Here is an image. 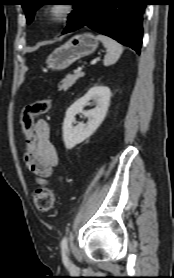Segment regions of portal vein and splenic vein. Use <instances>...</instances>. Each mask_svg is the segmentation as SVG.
Masks as SVG:
<instances>
[{
    "mask_svg": "<svg viewBox=\"0 0 174 278\" xmlns=\"http://www.w3.org/2000/svg\"><path fill=\"white\" fill-rule=\"evenodd\" d=\"M100 60V58H97V59H95L94 61H93V63H97V61H99ZM82 67H78L77 68V72H80V71H82Z\"/></svg>",
    "mask_w": 174,
    "mask_h": 278,
    "instance_id": "portal-vein-and-splenic-vein-1",
    "label": "portal vein and splenic vein"
}]
</instances>
